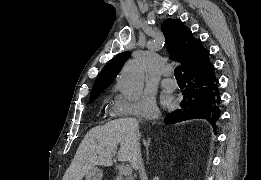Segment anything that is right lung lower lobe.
Segmentation results:
<instances>
[{
  "instance_id": "right-lung-lower-lobe-1",
  "label": "right lung lower lobe",
  "mask_w": 261,
  "mask_h": 180,
  "mask_svg": "<svg viewBox=\"0 0 261 180\" xmlns=\"http://www.w3.org/2000/svg\"><path fill=\"white\" fill-rule=\"evenodd\" d=\"M187 83L182 92L180 108L165 118V123H177L194 118H204L213 127L220 117V94L214 67L208 61L184 72Z\"/></svg>"
}]
</instances>
